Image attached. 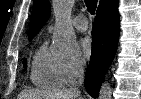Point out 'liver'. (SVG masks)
Instances as JSON below:
<instances>
[{
	"mask_svg": "<svg viewBox=\"0 0 141 99\" xmlns=\"http://www.w3.org/2000/svg\"><path fill=\"white\" fill-rule=\"evenodd\" d=\"M80 91L75 88L59 91L27 90L18 95V99H79Z\"/></svg>",
	"mask_w": 141,
	"mask_h": 99,
	"instance_id": "6515ba94",
	"label": "liver"
}]
</instances>
